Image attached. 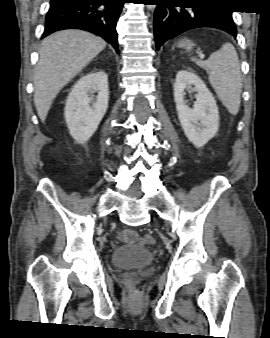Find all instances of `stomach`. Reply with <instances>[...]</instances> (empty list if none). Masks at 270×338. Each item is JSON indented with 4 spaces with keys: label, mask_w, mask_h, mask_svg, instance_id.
<instances>
[{
    "label": "stomach",
    "mask_w": 270,
    "mask_h": 338,
    "mask_svg": "<svg viewBox=\"0 0 270 338\" xmlns=\"http://www.w3.org/2000/svg\"><path fill=\"white\" fill-rule=\"evenodd\" d=\"M193 46H194V44L192 43V41H190L188 39H182L181 41L178 42V47L184 48L186 50L192 49Z\"/></svg>",
    "instance_id": "stomach-1"
}]
</instances>
